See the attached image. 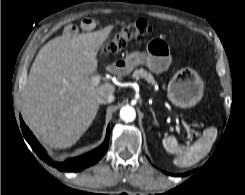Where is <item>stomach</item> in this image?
<instances>
[{
    "instance_id": "0dacf381",
    "label": "stomach",
    "mask_w": 245,
    "mask_h": 195,
    "mask_svg": "<svg viewBox=\"0 0 245 195\" xmlns=\"http://www.w3.org/2000/svg\"><path fill=\"white\" fill-rule=\"evenodd\" d=\"M171 61L170 48L161 40H152L146 52L133 51L125 59L116 60L112 69L117 75H127L135 67L146 65L152 72L165 71ZM204 83L196 71L189 67L178 70L168 84L167 96L176 106L189 108L202 98Z\"/></svg>"
}]
</instances>
